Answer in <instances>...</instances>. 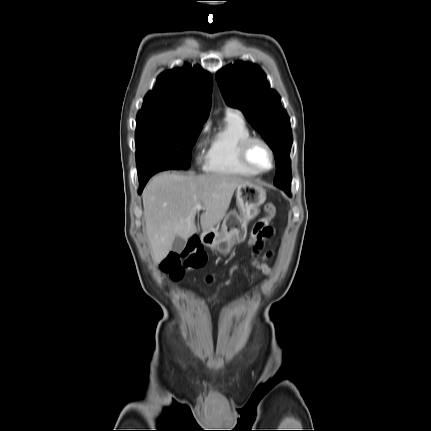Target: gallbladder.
<instances>
[{"label": "gallbladder", "instance_id": "obj_1", "mask_svg": "<svg viewBox=\"0 0 431 431\" xmlns=\"http://www.w3.org/2000/svg\"><path fill=\"white\" fill-rule=\"evenodd\" d=\"M186 245V240L182 237L177 236L172 244V251L175 253H180L183 251Z\"/></svg>", "mask_w": 431, "mask_h": 431}]
</instances>
